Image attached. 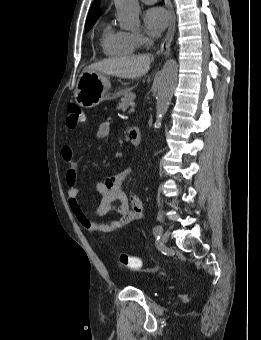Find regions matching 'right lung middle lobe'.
Masks as SVG:
<instances>
[{
  "label": "right lung middle lobe",
  "instance_id": "right-lung-middle-lobe-1",
  "mask_svg": "<svg viewBox=\"0 0 261 340\" xmlns=\"http://www.w3.org/2000/svg\"><path fill=\"white\" fill-rule=\"evenodd\" d=\"M95 22H96V21L87 22V23H86V31H89V29L93 26V24H94Z\"/></svg>",
  "mask_w": 261,
  "mask_h": 340
}]
</instances>
